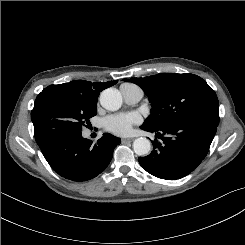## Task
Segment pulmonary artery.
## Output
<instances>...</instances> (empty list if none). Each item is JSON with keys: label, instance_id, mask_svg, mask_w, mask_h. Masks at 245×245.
Here are the masks:
<instances>
[{"label": "pulmonary artery", "instance_id": "e3ab8cb5", "mask_svg": "<svg viewBox=\"0 0 245 245\" xmlns=\"http://www.w3.org/2000/svg\"><path fill=\"white\" fill-rule=\"evenodd\" d=\"M120 90L125 102L128 104L137 103L143 96V91L135 85H122Z\"/></svg>", "mask_w": 245, "mask_h": 245}]
</instances>
